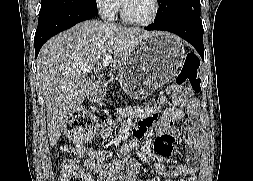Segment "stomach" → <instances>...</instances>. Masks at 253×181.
I'll list each match as a JSON object with an SVG mask.
<instances>
[{"mask_svg": "<svg viewBox=\"0 0 253 181\" xmlns=\"http://www.w3.org/2000/svg\"><path fill=\"white\" fill-rule=\"evenodd\" d=\"M186 58L179 38L166 32H155L135 45L120 68L118 80L122 89L135 99H143L169 82Z\"/></svg>", "mask_w": 253, "mask_h": 181, "instance_id": "0dacf381", "label": "stomach"}]
</instances>
